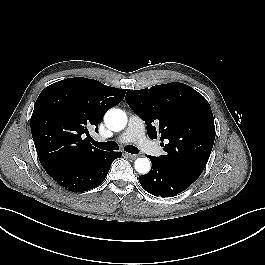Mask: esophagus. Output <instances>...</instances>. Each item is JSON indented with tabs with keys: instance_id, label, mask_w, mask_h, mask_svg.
Returning <instances> with one entry per match:
<instances>
[{
	"instance_id": "esophagus-1",
	"label": "esophagus",
	"mask_w": 265,
	"mask_h": 265,
	"mask_svg": "<svg viewBox=\"0 0 265 265\" xmlns=\"http://www.w3.org/2000/svg\"><path fill=\"white\" fill-rule=\"evenodd\" d=\"M127 157H129L130 159H136L138 157V155L135 154H130V153H125Z\"/></svg>"
}]
</instances>
